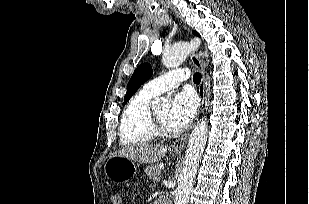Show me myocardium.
<instances>
[{
	"label": "myocardium",
	"instance_id": "1",
	"mask_svg": "<svg viewBox=\"0 0 309 204\" xmlns=\"http://www.w3.org/2000/svg\"><path fill=\"white\" fill-rule=\"evenodd\" d=\"M150 121H151V124L153 126V128L155 129V131L157 133H165V132H168L169 131V128L167 125H165L164 123H162L157 115L155 114L154 111L151 110L150 112Z\"/></svg>",
	"mask_w": 309,
	"mask_h": 204
}]
</instances>
